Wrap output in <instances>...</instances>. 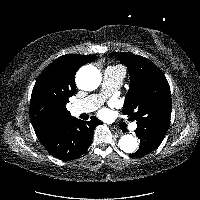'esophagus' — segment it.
Segmentation results:
<instances>
[{
	"label": "esophagus",
	"mask_w": 200,
	"mask_h": 200,
	"mask_svg": "<svg viewBox=\"0 0 200 200\" xmlns=\"http://www.w3.org/2000/svg\"><path fill=\"white\" fill-rule=\"evenodd\" d=\"M110 129H111V131L113 132V133H121V131L119 130V129H117L116 127H112V126H110Z\"/></svg>",
	"instance_id": "obj_1"
}]
</instances>
